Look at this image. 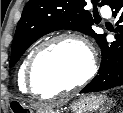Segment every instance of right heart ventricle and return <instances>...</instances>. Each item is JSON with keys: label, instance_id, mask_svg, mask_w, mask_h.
I'll use <instances>...</instances> for the list:
<instances>
[{"label": "right heart ventricle", "instance_id": "1", "mask_svg": "<svg viewBox=\"0 0 123 113\" xmlns=\"http://www.w3.org/2000/svg\"><path fill=\"white\" fill-rule=\"evenodd\" d=\"M33 50L24 58L21 66L19 67V70L17 73V83H18L19 88H27L26 81H25V68H26L27 61L31 53L33 52Z\"/></svg>", "mask_w": 123, "mask_h": 113}]
</instances>
